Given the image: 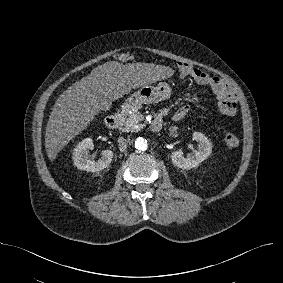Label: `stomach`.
Listing matches in <instances>:
<instances>
[{"label":"stomach","mask_w":283,"mask_h":283,"mask_svg":"<svg viewBox=\"0 0 283 283\" xmlns=\"http://www.w3.org/2000/svg\"><path fill=\"white\" fill-rule=\"evenodd\" d=\"M171 95V87L166 82H160L156 86L144 85L130 94L122 105V111L127 113L139 108L142 104H153L168 99Z\"/></svg>","instance_id":"obj_1"}]
</instances>
